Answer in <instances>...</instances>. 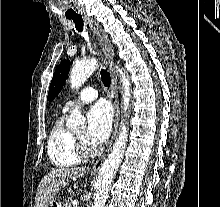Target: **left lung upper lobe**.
I'll return each instance as SVG.
<instances>
[{"instance_id": "left-lung-upper-lobe-1", "label": "left lung upper lobe", "mask_w": 220, "mask_h": 207, "mask_svg": "<svg viewBox=\"0 0 220 207\" xmlns=\"http://www.w3.org/2000/svg\"><path fill=\"white\" fill-rule=\"evenodd\" d=\"M69 69H70L69 60H63L56 68L49 88V93H48L49 101H52L60 93L67 79Z\"/></svg>"}]
</instances>
